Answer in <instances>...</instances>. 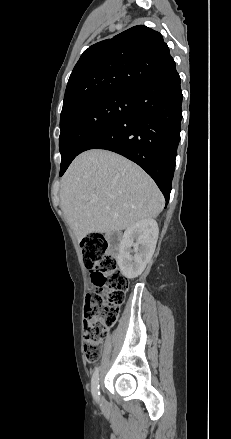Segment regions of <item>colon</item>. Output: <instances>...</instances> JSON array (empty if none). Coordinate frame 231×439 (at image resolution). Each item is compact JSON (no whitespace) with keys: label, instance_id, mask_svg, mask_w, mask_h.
I'll return each instance as SVG.
<instances>
[{"label":"colon","instance_id":"1","mask_svg":"<svg viewBox=\"0 0 231 439\" xmlns=\"http://www.w3.org/2000/svg\"><path fill=\"white\" fill-rule=\"evenodd\" d=\"M84 266L92 272L94 290L85 298L84 353L90 362L101 355L104 335L115 323L128 288L108 240L100 234L87 235L82 243Z\"/></svg>","mask_w":231,"mask_h":439}]
</instances>
